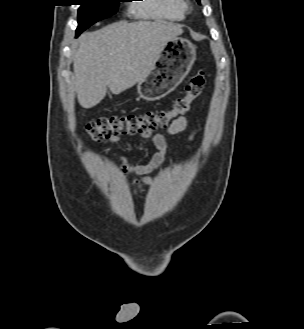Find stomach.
Segmentation results:
<instances>
[{"mask_svg": "<svg viewBox=\"0 0 304 329\" xmlns=\"http://www.w3.org/2000/svg\"><path fill=\"white\" fill-rule=\"evenodd\" d=\"M196 60V47L189 40H168L146 78L137 84L139 96L157 101L172 92L187 76Z\"/></svg>", "mask_w": 304, "mask_h": 329, "instance_id": "stomach-1", "label": "stomach"}]
</instances>
